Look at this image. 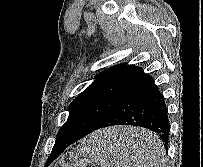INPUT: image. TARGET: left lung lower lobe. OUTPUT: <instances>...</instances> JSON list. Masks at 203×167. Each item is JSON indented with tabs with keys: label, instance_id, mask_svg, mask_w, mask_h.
Returning a JSON list of instances; mask_svg holds the SVG:
<instances>
[{
	"label": "left lung lower lobe",
	"instance_id": "left-lung-lower-lobe-1",
	"mask_svg": "<svg viewBox=\"0 0 203 167\" xmlns=\"http://www.w3.org/2000/svg\"><path fill=\"white\" fill-rule=\"evenodd\" d=\"M113 125H133L147 128L158 135L167 149L170 124L165 100L155 87L153 79L143 70L136 76L97 129ZM83 137V135H73L56 140L49 160L56 159L67 147Z\"/></svg>",
	"mask_w": 203,
	"mask_h": 167
}]
</instances>
